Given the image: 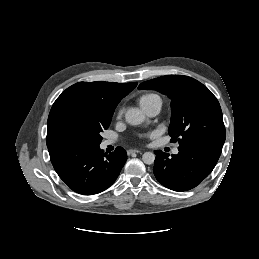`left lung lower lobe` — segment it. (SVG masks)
<instances>
[{
	"mask_svg": "<svg viewBox=\"0 0 259 259\" xmlns=\"http://www.w3.org/2000/svg\"><path fill=\"white\" fill-rule=\"evenodd\" d=\"M223 144L196 142L178 147V154L154 151L153 172L156 179L174 191H186L199 185L214 169Z\"/></svg>",
	"mask_w": 259,
	"mask_h": 259,
	"instance_id": "1",
	"label": "left lung lower lobe"
}]
</instances>
